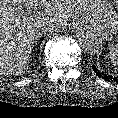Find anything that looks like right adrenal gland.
Masks as SVG:
<instances>
[{
    "label": "right adrenal gland",
    "instance_id": "right-adrenal-gland-1",
    "mask_svg": "<svg viewBox=\"0 0 118 118\" xmlns=\"http://www.w3.org/2000/svg\"><path fill=\"white\" fill-rule=\"evenodd\" d=\"M42 35H39L37 38H36V40H35V42H37L38 41V38H40Z\"/></svg>",
    "mask_w": 118,
    "mask_h": 118
}]
</instances>
